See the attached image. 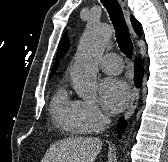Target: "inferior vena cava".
<instances>
[{
  "label": "inferior vena cava",
  "mask_w": 168,
  "mask_h": 162,
  "mask_svg": "<svg viewBox=\"0 0 168 162\" xmlns=\"http://www.w3.org/2000/svg\"><path fill=\"white\" fill-rule=\"evenodd\" d=\"M110 122V120H106V123H109Z\"/></svg>",
  "instance_id": "602c4592"
}]
</instances>
